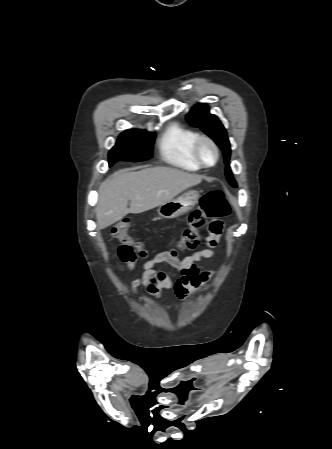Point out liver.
<instances>
[{
    "instance_id": "obj_1",
    "label": "liver",
    "mask_w": 332,
    "mask_h": 449,
    "mask_svg": "<svg viewBox=\"0 0 332 449\" xmlns=\"http://www.w3.org/2000/svg\"><path fill=\"white\" fill-rule=\"evenodd\" d=\"M201 181L199 175L171 167L117 171L99 187L96 206L98 228H107L129 213L138 214L160 206ZM128 201L130 208L127 207Z\"/></svg>"
}]
</instances>
